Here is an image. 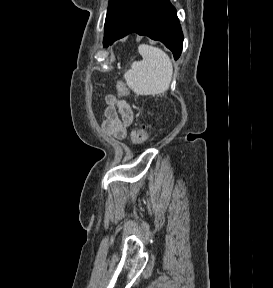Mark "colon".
<instances>
[{"label": "colon", "instance_id": "5ec220e1", "mask_svg": "<svg viewBox=\"0 0 273 288\" xmlns=\"http://www.w3.org/2000/svg\"><path fill=\"white\" fill-rule=\"evenodd\" d=\"M117 92L120 96H126L129 93V90L126 86V84L119 80L116 84ZM148 139V130L145 126H141L131 133V141L134 145H142L144 144Z\"/></svg>", "mask_w": 273, "mask_h": 288}]
</instances>
